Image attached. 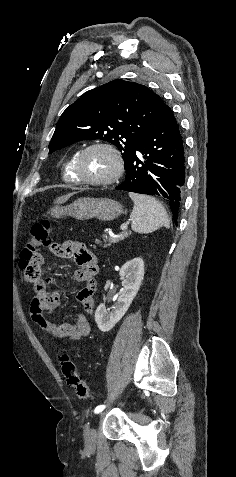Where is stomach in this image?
Listing matches in <instances>:
<instances>
[{"label":"stomach","instance_id":"1","mask_svg":"<svg viewBox=\"0 0 236 477\" xmlns=\"http://www.w3.org/2000/svg\"><path fill=\"white\" fill-rule=\"evenodd\" d=\"M49 213L54 218L71 216L77 220L97 218L102 221H112L123 213L122 205L108 198H79L67 206H55Z\"/></svg>","mask_w":236,"mask_h":477}]
</instances>
